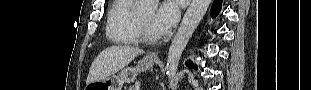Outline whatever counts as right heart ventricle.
Masks as SVG:
<instances>
[{"instance_id":"right-heart-ventricle-1","label":"right heart ventricle","mask_w":311,"mask_h":90,"mask_svg":"<svg viewBox=\"0 0 311 90\" xmlns=\"http://www.w3.org/2000/svg\"><path fill=\"white\" fill-rule=\"evenodd\" d=\"M136 18L134 0L114 1L110 7L106 23L108 39L121 45L138 44Z\"/></svg>"}]
</instances>
